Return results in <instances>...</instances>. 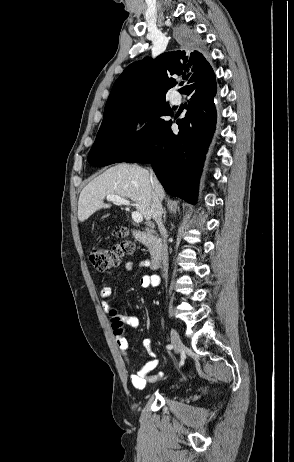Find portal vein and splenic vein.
<instances>
[{
  "mask_svg": "<svg viewBox=\"0 0 294 462\" xmlns=\"http://www.w3.org/2000/svg\"><path fill=\"white\" fill-rule=\"evenodd\" d=\"M106 199L108 201L117 202V203L122 204V205H126V206L130 205V202L128 200H126L125 198L121 197V196L108 195V196H106ZM132 219H133L134 222L140 223V222L143 221V216H142V214L140 212L134 211V212H132Z\"/></svg>",
  "mask_w": 294,
  "mask_h": 462,
  "instance_id": "1",
  "label": "portal vein and splenic vein"
}]
</instances>
